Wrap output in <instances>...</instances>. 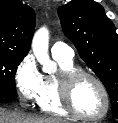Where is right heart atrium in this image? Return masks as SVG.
I'll use <instances>...</instances> for the list:
<instances>
[{"instance_id":"right-heart-atrium-1","label":"right heart atrium","mask_w":118,"mask_h":123,"mask_svg":"<svg viewBox=\"0 0 118 123\" xmlns=\"http://www.w3.org/2000/svg\"><path fill=\"white\" fill-rule=\"evenodd\" d=\"M15 86L22 104L35 102L40 94L43 76L32 55L25 56L14 73Z\"/></svg>"}]
</instances>
